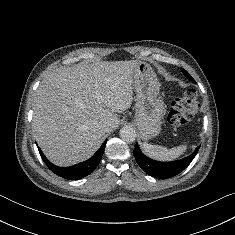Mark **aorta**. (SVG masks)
Returning a JSON list of instances; mask_svg holds the SVG:
<instances>
[{
    "label": "aorta",
    "mask_w": 235,
    "mask_h": 235,
    "mask_svg": "<svg viewBox=\"0 0 235 235\" xmlns=\"http://www.w3.org/2000/svg\"><path fill=\"white\" fill-rule=\"evenodd\" d=\"M120 137L125 142H133L136 138V131L131 127H123L120 130Z\"/></svg>",
    "instance_id": "aorta-1"
}]
</instances>
